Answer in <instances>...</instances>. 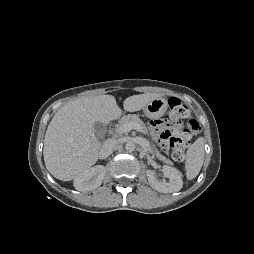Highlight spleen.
I'll list each match as a JSON object with an SVG mask.
<instances>
[{"instance_id":"1","label":"spleen","mask_w":254,"mask_h":254,"mask_svg":"<svg viewBox=\"0 0 254 254\" xmlns=\"http://www.w3.org/2000/svg\"><path fill=\"white\" fill-rule=\"evenodd\" d=\"M204 145L205 139L199 137L187 150L185 169L188 180L194 179L201 170L205 155Z\"/></svg>"}]
</instances>
